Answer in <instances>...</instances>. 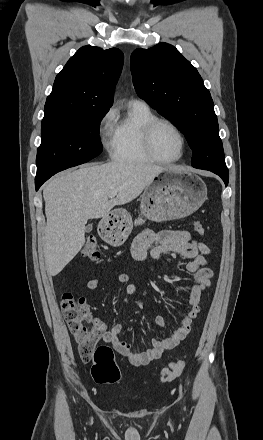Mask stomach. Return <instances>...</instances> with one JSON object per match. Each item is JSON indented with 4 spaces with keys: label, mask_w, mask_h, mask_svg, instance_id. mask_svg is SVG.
Listing matches in <instances>:
<instances>
[{
    "label": "stomach",
    "mask_w": 263,
    "mask_h": 440,
    "mask_svg": "<svg viewBox=\"0 0 263 440\" xmlns=\"http://www.w3.org/2000/svg\"><path fill=\"white\" fill-rule=\"evenodd\" d=\"M207 199L204 181L193 173L167 169L145 188L141 199V213L153 221L185 218L199 209ZM117 221L102 228V235L112 246L122 245L132 230L129 214L117 212Z\"/></svg>",
    "instance_id": "obj_1"
}]
</instances>
